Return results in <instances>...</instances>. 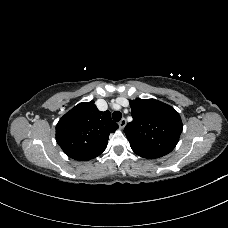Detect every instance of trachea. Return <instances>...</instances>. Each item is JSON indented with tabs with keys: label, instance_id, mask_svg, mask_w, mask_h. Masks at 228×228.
I'll return each instance as SVG.
<instances>
[{
	"label": "trachea",
	"instance_id": "3493384b",
	"mask_svg": "<svg viewBox=\"0 0 228 228\" xmlns=\"http://www.w3.org/2000/svg\"><path fill=\"white\" fill-rule=\"evenodd\" d=\"M112 118H113V120H114L115 122H118V121H120V119L122 118V113L119 112V111H115V112H113V114H112Z\"/></svg>",
	"mask_w": 228,
	"mask_h": 228
}]
</instances>
